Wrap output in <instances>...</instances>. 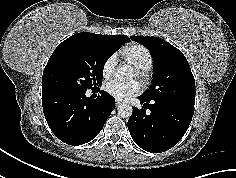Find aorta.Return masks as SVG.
<instances>
[{"label": "aorta", "instance_id": "obj_1", "mask_svg": "<svg viewBox=\"0 0 236 178\" xmlns=\"http://www.w3.org/2000/svg\"><path fill=\"white\" fill-rule=\"evenodd\" d=\"M129 68L127 65L118 66L115 77L118 80H123L129 77ZM132 107L129 104H120L117 108V113L122 118H129L132 115Z\"/></svg>", "mask_w": 236, "mask_h": 178}]
</instances>
